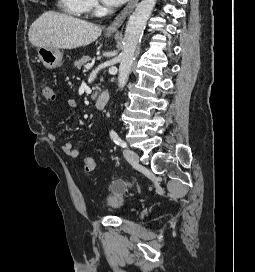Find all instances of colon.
<instances>
[{
	"mask_svg": "<svg viewBox=\"0 0 255 272\" xmlns=\"http://www.w3.org/2000/svg\"><path fill=\"white\" fill-rule=\"evenodd\" d=\"M42 96L48 100L53 101L55 99L54 89L49 81H44L41 87ZM95 163L92 156H85L83 159V168L87 173H91L94 170ZM121 188V185H117Z\"/></svg>",
	"mask_w": 255,
	"mask_h": 272,
	"instance_id": "5ec220e1",
	"label": "colon"
}]
</instances>
